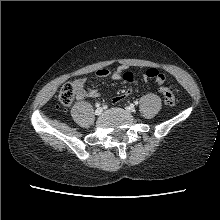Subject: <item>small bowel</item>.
<instances>
[{
  "instance_id": "small-bowel-1",
  "label": "small bowel",
  "mask_w": 220,
  "mask_h": 220,
  "mask_svg": "<svg viewBox=\"0 0 220 220\" xmlns=\"http://www.w3.org/2000/svg\"><path fill=\"white\" fill-rule=\"evenodd\" d=\"M121 75H122V70L120 68H117L112 72L108 71L107 69H99L96 72V76L99 78L111 76V78L114 80H119L121 78ZM73 83L76 88L78 99H82L84 97H90V98L98 97L99 95L98 90L88 87L86 84V80L84 78L76 79L73 81ZM127 96L128 94H124V93L116 96L114 98V103H119L123 101L124 99H126Z\"/></svg>"
}]
</instances>
